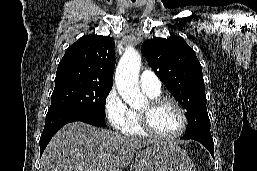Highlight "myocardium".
I'll return each mask as SVG.
<instances>
[{
	"instance_id": "obj_1",
	"label": "myocardium",
	"mask_w": 257,
	"mask_h": 171,
	"mask_svg": "<svg viewBox=\"0 0 257 171\" xmlns=\"http://www.w3.org/2000/svg\"><path fill=\"white\" fill-rule=\"evenodd\" d=\"M165 103H169V104H172L173 106H175V108L179 111L181 118H182L181 128L173 134L159 133L153 128V126L151 124V120H150L151 112L154 109H156L158 106L165 104ZM138 115H139V122H140L141 129L146 134H148L152 137L158 138V139L170 140V139L178 138L186 131L187 126H188V117H187L185 109L182 107V105L178 101H176L173 98L167 97V96H158L155 98H149L147 101V108L144 110H139Z\"/></svg>"
}]
</instances>
